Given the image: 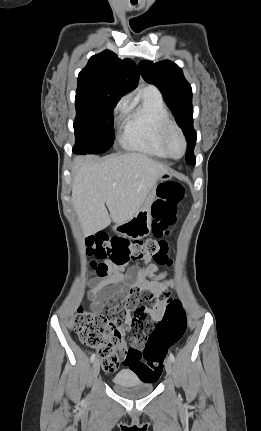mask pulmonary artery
<instances>
[{"instance_id":"obj_1","label":"pulmonary artery","mask_w":261,"mask_h":431,"mask_svg":"<svg viewBox=\"0 0 261 431\" xmlns=\"http://www.w3.org/2000/svg\"><path fill=\"white\" fill-rule=\"evenodd\" d=\"M148 89H150V90H153V91H155V92H158V90L154 87V86H148L147 87ZM159 93V92H158Z\"/></svg>"}]
</instances>
